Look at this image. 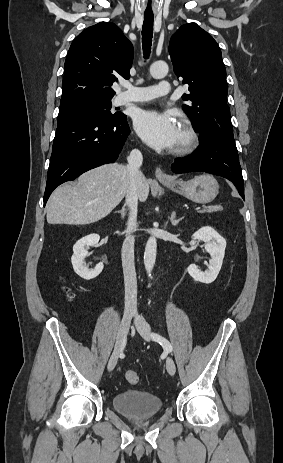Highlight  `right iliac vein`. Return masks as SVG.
Listing matches in <instances>:
<instances>
[{
    "label": "right iliac vein",
    "mask_w": 283,
    "mask_h": 463,
    "mask_svg": "<svg viewBox=\"0 0 283 463\" xmlns=\"http://www.w3.org/2000/svg\"><path fill=\"white\" fill-rule=\"evenodd\" d=\"M133 316H134L133 312L126 311L122 317L121 324H120L119 331H118L116 345H115L114 351L111 354L109 362H108V366H107L108 371H112L117 364L119 354L122 349V343L128 334Z\"/></svg>",
    "instance_id": "63e3f726"
}]
</instances>
